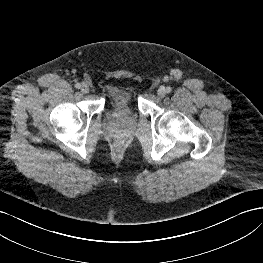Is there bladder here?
I'll use <instances>...</instances> for the list:
<instances>
[{"label":"bladder","instance_id":"31cf9c89","mask_svg":"<svg viewBox=\"0 0 263 263\" xmlns=\"http://www.w3.org/2000/svg\"><path fill=\"white\" fill-rule=\"evenodd\" d=\"M107 92L111 113L116 118L124 117L136 102V89L132 85L112 84L107 87Z\"/></svg>","mask_w":263,"mask_h":263}]
</instances>
